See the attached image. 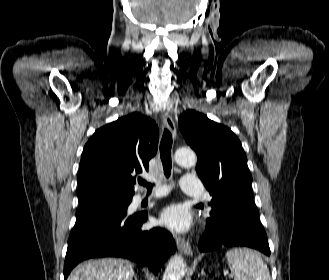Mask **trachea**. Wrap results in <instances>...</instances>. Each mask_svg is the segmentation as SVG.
Here are the masks:
<instances>
[{
  "instance_id": "3493384b",
  "label": "trachea",
  "mask_w": 329,
  "mask_h": 280,
  "mask_svg": "<svg viewBox=\"0 0 329 280\" xmlns=\"http://www.w3.org/2000/svg\"><path fill=\"white\" fill-rule=\"evenodd\" d=\"M171 148H172V135L170 131L165 129L163 137L160 143V158L163 164L164 174L168 178L171 174L172 160H171ZM138 183L146 186L148 191L152 190L153 185L146 181L139 179Z\"/></svg>"
}]
</instances>
